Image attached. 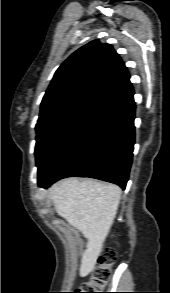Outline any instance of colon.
<instances>
[{
  "mask_svg": "<svg viewBox=\"0 0 170 293\" xmlns=\"http://www.w3.org/2000/svg\"><path fill=\"white\" fill-rule=\"evenodd\" d=\"M116 260L114 249H104L92 266L88 280L82 282L72 293H98L110 279L111 268Z\"/></svg>",
  "mask_w": 170,
  "mask_h": 293,
  "instance_id": "colon-1",
  "label": "colon"
}]
</instances>
